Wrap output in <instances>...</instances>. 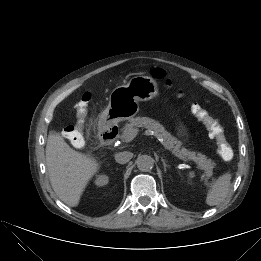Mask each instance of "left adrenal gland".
<instances>
[{
    "instance_id": "1",
    "label": "left adrenal gland",
    "mask_w": 261,
    "mask_h": 261,
    "mask_svg": "<svg viewBox=\"0 0 261 261\" xmlns=\"http://www.w3.org/2000/svg\"><path fill=\"white\" fill-rule=\"evenodd\" d=\"M161 161H162L163 166H164V171L166 172V171H167V164H166V161H165V159H163V157H161Z\"/></svg>"
}]
</instances>
